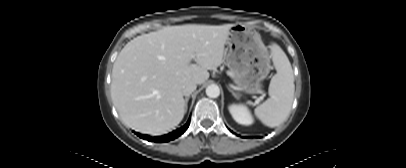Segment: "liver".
<instances>
[{"label":"liver","instance_id":"liver-1","mask_svg":"<svg viewBox=\"0 0 406 168\" xmlns=\"http://www.w3.org/2000/svg\"><path fill=\"white\" fill-rule=\"evenodd\" d=\"M232 26H167L128 42L113 64L111 82L122 122L150 135L177 126L186 113L182 86L189 81L203 84L208 70L221 65Z\"/></svg>","mask_w":406,"mask_h":168}]
</instances>
